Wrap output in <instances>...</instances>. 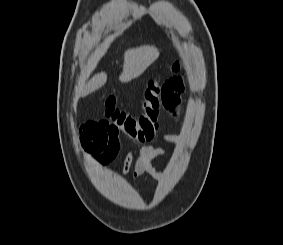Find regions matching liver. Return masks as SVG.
<instances>
[{
	"instance_id": "6515ba94",
	"label": "liver",
	"mask_w": 283,
	"mask_h": 245,
	"mask_svg": "<svg viewBox=\"0 0 283 245\" xmlns=\"http://www.w3.org/2000/svg\"><path fill=\"white\" fill-rule=\"evenodd\" d=\"M159 51L154 46L144 45L128 49L124 53L123 71L119 77L121 82H129L140 76L157 58ZM107 81L105 72L95 74L81 91V95H87L101 88Z\"/></svg>"
}]
</instances>
